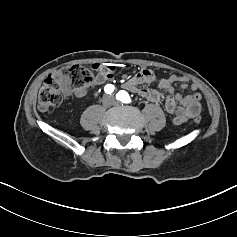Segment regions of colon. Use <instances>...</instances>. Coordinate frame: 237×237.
Masks as SVG:
<instances>
[{
  "label": "colon",
  "instance_id": "colon-1",
  "mask_svg": "<svg viewBox=\"0 0 237 237\" xmlns=\"http://www.w3.org/2000/svg\"><path fill=\"white\" fill-rule=\"evenodd\" d=\"M111 66L98 63L93 66V70L81 65L65 66L56 72L49 74L38 94V109L46 111L53 106L59 105L63 100V90H81L89 87L100 71L110 70ZM194 122L199 124L201 117L196 116Z\"/></svg>",
  "mask_w": 237,
  "mask_h": 237
}]
</instances>
